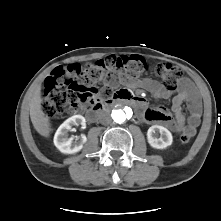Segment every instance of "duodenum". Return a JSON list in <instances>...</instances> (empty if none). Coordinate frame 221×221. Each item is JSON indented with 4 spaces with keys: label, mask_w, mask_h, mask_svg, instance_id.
Listing matches in <instances>:
<instances>
[{
    "label": "duodenum",
    "mask_w": 221,
    "mask_h": 221,
    "mask_svg": "<svg viewBox=\"0 0 221 221\" xmlns=\"http://www.w3.org/2000/svg\"><path fill=\"white\" fill-rule=\"evenodd\" d=\"M118 102H126L138 109H141L144 105L142 99L134 97L129 91L119 90L113 96L106 98L105 100L95 101L92 107L86 110L87 117L90 120H95L102 111L107 110Z\"/></svg>",
    "instance_id": "obj_1"
}]
</instances>
